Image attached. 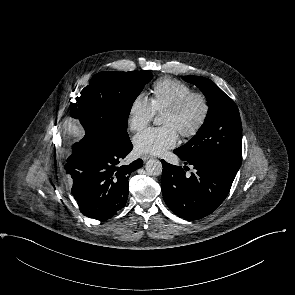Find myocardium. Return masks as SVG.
Segmentation results:
<instances>
[{
  "label": "myocardium",
  "instance_id": "obj_1",
  "mask_svg": "<svg viewBox=\"0 0 295 295\" xmlns=\"http://www.w3.org/2000/svg\"><path fill=\"white\" fill-rule=\"evenodd\" d=\"M195 102H198L201 106L200 115L191 127L179 131L180 135L183 137L195 136L207 122L211 111V104L208 96L203 92L193 91L187 96H185L181 101H179L178 103L164 111V113L182 116L189 110L191 105Z\"/></svg>",
  "mask_w": 295,
  "mask_h": 295
}]
</instances>
